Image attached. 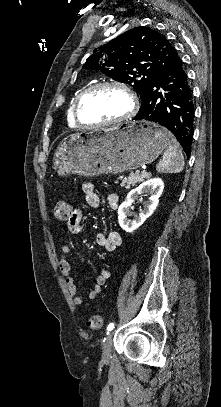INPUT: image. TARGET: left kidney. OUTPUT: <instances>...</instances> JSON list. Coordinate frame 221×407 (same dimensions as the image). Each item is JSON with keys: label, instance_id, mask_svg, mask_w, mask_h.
I'll use <instances>...</instances> for the list:
<instances>
[{"label": "left kidney", "instance_id": "left-kidney-1", "mask_svg": "<svg viewBox=\"0 0 221 407\" xmlns=\"http://www.w3.org/2000/svg\"><path fill=\"white\" fill-rule=\"evenodd\" d=\"M163 189L164 183L162 179L152 178L143 182L137 188L131 190L128 193L126 200L119 206L118 209V222L120 227L126 232H133L139 228L156 209ZM143 193L150 194L149 201L147 204H145L144 210L141 211L134 220H130L128 218L131 215L130 208L135 200H137L138 197Z\"/></svg>", "mask_w": 221, "mask_h": 407}]
</instances>
